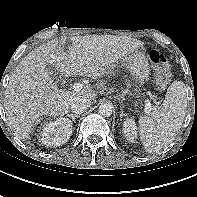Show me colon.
Instances as JSON below:
<instances>
[{
	"mask_svg": "<svg viewBox=\"0 0 197 197\" xmlns=\"http://www.w3.org/2000/svg\"><path fill=\"white\" fill-rule=\"evenodd\" d=\"M148 57L154 66L158 86L166 87L170 81V66L166 57L157 49H152Z\"/></svg>",
	"mask_w": 197,
	"mask_h": 197,
	"instance_id": "1",
	"label": "colon"
}]
</instances>
